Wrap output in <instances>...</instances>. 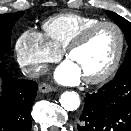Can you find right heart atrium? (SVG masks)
<instances>
[{
	"instance_id": "d8ad5b80",
	"label": "right heart atrium",
	"mask_w": 131,
	"mask_h": 131,
	"mask_svg": "<svg viewBox=\"0 0 131 131\" xmlns=\"http://www.w3.org/2000/svg\"><path fill=\"white\" fill-rule=\"evenodd\" d=\"M19 64L30 73L39 74L46 66L60 59L62 53L57 50L40 32H23L15 45Z\"/></svg>"
}]
</instances>
